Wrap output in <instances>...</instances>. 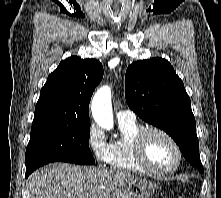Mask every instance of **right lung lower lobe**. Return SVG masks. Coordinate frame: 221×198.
<instances>
[{
    "instance_id": "right-lung-lower-lobe-1",
    "label": "right lung lower lobe",
    "mask_w": 221,
    "mask_h": 198,
    "mask_svg": "<svg viewBox=\"0 0 221 198\" xmlns=\"http://www.w3.org/2000/svg\"><path fill=\"white\" fill-rule=\"evenodd\" d=\"M31 173H32V172H31ZM31 173H26V178H27Z\"/></svg>"
}]
</instances>
